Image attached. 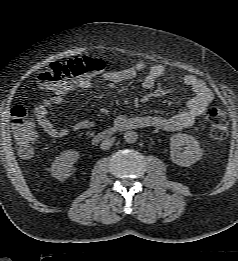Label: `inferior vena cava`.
Wrapping results in <instances>:
<instances>
[{
    "instance_id": "obj_1",
    "label": "inferior vena cava",
    "mask_w": 238,
    "mask_h": 261,
    "mask_svg": "<svg viewBox=\"0 0 238 261\" xmlns=\"http://www.w3.org/2000/svg\"><path fill=\"white\" fill-rule=\"evenodd\" d=\"M114 143V138H108V139H105L101 145H100V148L102 150H107L109 149Z\"/></svg>"
}]
</instances>
